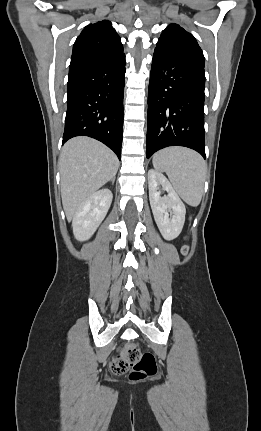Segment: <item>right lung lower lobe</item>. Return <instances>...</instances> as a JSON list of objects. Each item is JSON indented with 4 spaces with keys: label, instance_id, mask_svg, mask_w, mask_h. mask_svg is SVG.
I'll return each instance as SVG.
<instances>
[{
    "label": "right lung lower lobe",
    "instance_id": "98d812e1",
    "mask_svg": "<svg viewBox=\"0 0 261 431\" xmlns=\"http://www.w3.org/2000/svg\"><path fill=\"white\" fill-rule=\"evenodd\" d=\"M124 83L123 52L72 58L62 144L75 136H89L121 159Z\"/></svg>",
    "mask_w": 261,
    "mask_h": 431
}]
</instances>
